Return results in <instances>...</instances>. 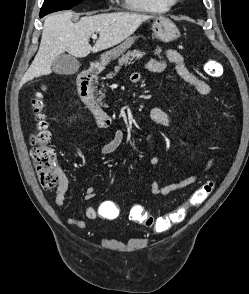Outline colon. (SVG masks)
<instances>
[{"instance_id": "1", "label": "colon", "mask_w": 249, "mask_h": 294, "mask_svg": "<svg viewBox=\"0 0 249 294\" xmlns=\"http://www.w3.org/2000/svg\"><path fill=\"white\" fill-rule=\"evenodd\" d=\"M203 68L210 77L218 78L223 74L221 66L212 60L206 61L203 64ZM31 107L35 123V131L31 136V144L33 146L31 151L32 160L41 186L47 189H53L62 184L64 176L62 171L57 167L56 152L49 145L51 135L47 130V124L43 114L44 102L40 93H37L33 98ZM214 188V181H206L190 195L186 202L175 210L159 217L152 216L143 206L136 204L131 208L129 217L132 221L152 228L157 232L167 231L185 219L189 208L204 202L213 192ZM118 215V210L112 209L110 211L112 218H116Z\"/></svg>"}]
</instances>
